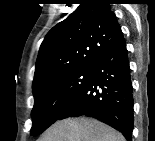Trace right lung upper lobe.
<instances>
[{
    "label": "right lung upper lobe",
    "instance_id": "cb5924a9",
    "mask_svg": "<svg viewBox=\"0 0 155 141\" xmlns=\"http://www.w3.org/2000/svg\"><path fill=\"white\" fill-rule=\"evenodd\" d=\"M122 34L107 0H85L41 44L32 87L56 74L94 67Z\"/></svg>",
    "mask_w": 155,
    "mask_h": 141
}]
</instances>
